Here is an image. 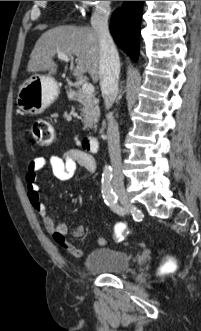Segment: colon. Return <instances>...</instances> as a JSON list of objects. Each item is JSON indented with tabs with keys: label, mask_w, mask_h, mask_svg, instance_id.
<instances>
[{
	"label": "colon",
	"mask_w": 201,
	"mask_h": 331,
	"mask_svg": "<svg viewBox=\"0 0 201 331\" xmlns=\"http://www.w3.org/2000/svg\"><path fill=\"white\" fill-rule=\"evenodd\" d=\"M32 137L35 143L39 146H48L55 142L56 131L50 121L46 119H37L33 122L31 127ZM129 234V230L124 224H118L115 227V235L118 238L125 237ZM175 268L173 261L168 260L161 268L162 273L172 272Z\"/></svg>",
	"instance_id": "5ec220e1"
}]
</instances>
